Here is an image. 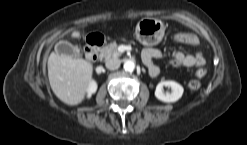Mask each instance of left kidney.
I'll list each match as a JSON object with an SVG mask.
<instances>
[{
  "label": "left kidney",
  "instance_id": "1",
  "mask_svg": "<svg viewBox=\"0 0 247 145\" xmlns=\"http://www.w3.org/2000/svg\"><path fill=\"white\" fill-rule=\"evenodd\" d=\"M168 86L171 88V93H164L163 87ZM184 89L183 87L172 80L167 81H161L158 83L156 90H155V96L158 100L166 103H172L179 100L183 95Z\"/></svg>",
  "mask_w": 247,
  "mask_h": 145
}]
</instances>
